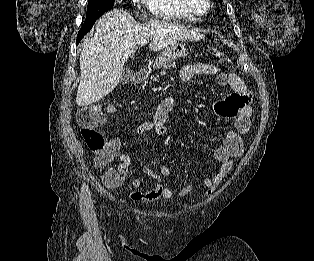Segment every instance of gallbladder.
I'll return each mask as SVG.
<instances>
[{
	"instance_id": "gallbladder-1",
	"label": "gallbladder",
	"mask_w": 314,
	"mask_h": 261,
	"mask_svg": "<svg viewBox=\"0 0 314 261\" xmlns=\"http://www.w3.org/2000/svg\"><path fill=\"white\" fill-rule=\"evenodd\" d=\"M133 75V71L130 68H126L122 71V75L120 78L121 84H126L130 81L131 77Z\"/></svg>"
}]
</instances>
